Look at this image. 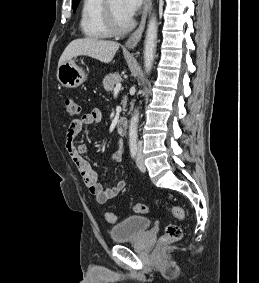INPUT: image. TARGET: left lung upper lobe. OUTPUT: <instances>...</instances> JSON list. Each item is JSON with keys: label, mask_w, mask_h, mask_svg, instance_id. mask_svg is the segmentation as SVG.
Returning <instances> with one entry per match:
<instances>
[{"label": "left lung upper lobe", "mask_w": 259, "mask_h": 283, "mask_svg": "<svg viewBox=\"0 0 259 283\" xmlns=\"http://www.w3.org/2000/svg\"><path fill=\"white\" fill-rule=\"evenodd\" d=\"M79 2H80V0H73V10H74V11H75V9L77 8Z\"/></svg>", "instance_id": "left-lung-upper-lobe-1"}]
</instances>
